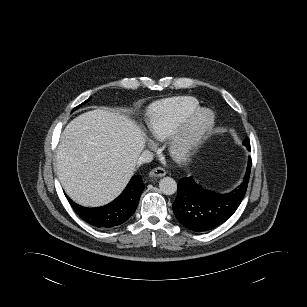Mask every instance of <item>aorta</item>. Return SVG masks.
<instances>
[{"label": "aorta", "instance_id": "aorta-1", "mask_svg": "<svg viewBox=\"0 0 307 307\" xmlns=\"http://www.w3.org/2000/svg\"><path fill=\"white\" fill-rule=\"evenodd\" d=\"M159 189L165 195H172L177 191V183L171 177H164L159 182Z\"/></svg>", "mask_w": 307, "mask_h": 307}]
</instances>
